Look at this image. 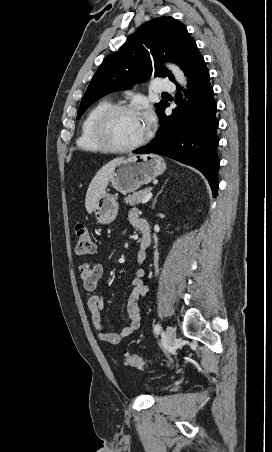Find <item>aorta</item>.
<instances>
[{"mask_svg":"<svg viewBox=\"0 0 272 452\" xmlns=\"http://www.w3.org/2000/svg\"><path fill=\"white\" fill-rule=\"evenodd\" d=\"M166 66H167V68L169 70H171V72L173 73L176 81L179 84H181L182 86H185L186 85V79H185V76H184V73L182 72V70L175 64L168 63Z\"/></svg>","mask_w":272,"mask_h":452,"instance_id":"aorta-1","label":"aorta"}]
</instances>
